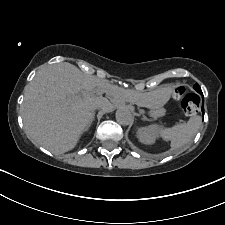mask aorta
<instances>
[{
  "instance_id": "aorta-1",
  "label": "aorta",
  "mask_w": 225,
  "mask_h": 225,
  "mask_svg": "<svg viewBox=\"0 0 225 225\" xmlns=\"http://www.w3.org/2000/svg\"><path fill=\"white\" fill-rule=\"evenodd\" d=\"M116 120L123 126H128L133 122V116L127 108H119L116 111Z\"/></svg>"
}]
</instances>
